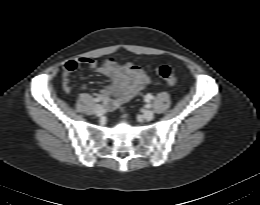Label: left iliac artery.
Instances as JSON below:
<instances>
[{
  "label": "left iliac artery",
  "mask_w": 260,
  "mask_h": 205,
  "mask_svg": "<svg viewBox=\"0 0 260 205\" xmlns=\"http://www.w3.org/2000/svg\"><path fill=\"white\" fill-rule=\"evenodd\" d=\"M152 98H153V96H152L151 94H148V95L146 96V99H145V100H146V102H149ZM146 107H147V108H150V107H151V104L148 103V104L146 105Z\"/></svg>",
  "instance_id": "1"
}]
</instances>
